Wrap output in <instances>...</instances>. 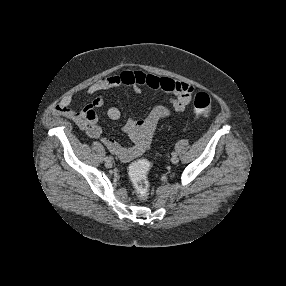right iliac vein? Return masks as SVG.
<instances>
[{"instance_id":"right-iliac-vein-1","label":"right iliac vein","mask_w":286,"mask_h":286,"mask_svg":"<svg viewBox=\"0 0 286 286\" xmlns=\"http://www.w3.org/2000/svg\"><path fill=\"white\" fill-rule=\"evenodd\" d=\"M112 166H113L112 161H106V163H105L106 168H111Z\"/></svg>"}]
</instances>
